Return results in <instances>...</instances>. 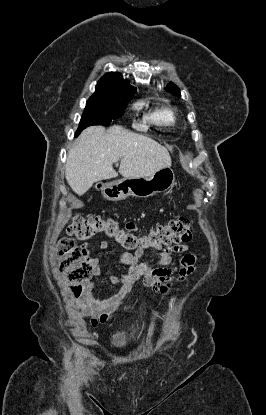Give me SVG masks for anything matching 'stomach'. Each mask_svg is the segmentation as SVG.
Segmentation results:
<instances>
[{
  "label": "stomach",
  "instance_id": "obj_1",
  "mask_svg": "<svg viewBox=\"0 0 266 415\" xmlns=\"http://www.w3.org/2000/svg\"><path fill=\"white\" fill-rule=\"evenodd\" d=\"M175 183V173L171 167H165L152 176L139 178H123L105 183L101 192L109 201L124 200L129 196L149 198L169 190Z\"/></svg>",
  "mask_w": 266,
  "mask_h": 415
}]
</instances>
